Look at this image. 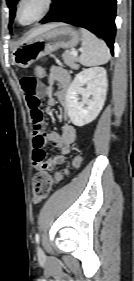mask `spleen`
Here are the masks:
<instances>
[{
	"instance_id": "spleen-1",
	"label": "spleen",
	"mask_w": 134,
	"mask_h": 281,
	"mask_svg": "<svg viewBox=\"0 0 134 281\" xmlns=\"http://www.w3.org/2000/svg\"><path fill=\"white\" fill-rule=\"evenodd\" d=\"M82 53L78 60L83 66L102 65L109 61L111 55L106 43L88 30L81 28Z\"/></svg>"
}]
</instances>
